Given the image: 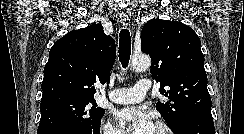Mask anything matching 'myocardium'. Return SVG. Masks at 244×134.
<instances>
[{
    "label": "myocardium",
    "mask_w": 244,
    "mask_h": 134,
    "mask_svg": "<svg viewBox=\"0 0 244 134\" xmlns=\"http://www.w3.org/2000/svg\"><path fill=\"white\" fill-rule=\"evenodd\" d=\"M155 126L161 129L165 134H174L173 130L164 122L158 121L156 122Z\"/></svg>",
    "instance_id": "f54148a6"
}]
</instances>
